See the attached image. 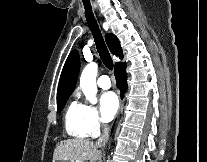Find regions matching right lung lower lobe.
Segmentation results:
<instances>
[{
    "label": "right lung lower lobe",
    "mask_w": 207,
    "mask_h": 162,
    "mask_svg": "<svg viewBox=\"0 0 207 162\" xmlns=\"http://www.w3.org/2000/svg\"><path fill=\"white\" fill-rule=\"evenodd\" d=\"M114 74L117 82V87L121 91V96H123L127 88L125 65L120 64L119 66L115 67Z\"/></svg>",
    "instance_id": "right-lung-lower-lobe-1"
}]
</instances>
